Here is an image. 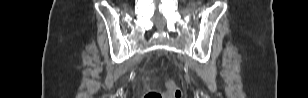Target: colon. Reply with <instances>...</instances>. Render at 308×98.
<instances>
[{
	"label": "colon",
	"mask_w": 308,
	"mask_h": 98,
	"mask_svg": "<svg viewBox=\"0 0 308 98\" xmlns=\"http://www.w3.org/2000/svg\"><path fill=\"white\" fill-rule=\"evenodd\" d=\"M181 95L179 87L170 80L166 83L165 92L152 90L147 92L143 98H180Z\"/></svg>",
	"instance_id": "obj_1"
}]
</instances>
